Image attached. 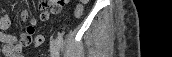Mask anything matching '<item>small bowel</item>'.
I'll return each mask as SVG.
<instances>
[{"label":"small bowel","mask_w":172,"mask_h":57,"mask_svg":"<svg viewBox=\"0 0 172 57\" xmlns=\"http://www.w3.org/2000/svg\"><path fill=\"white\" fill-rule=\"evenodd\" d=\"M67 2L68 0H40L38 4L41 10L39 19L47 21L52 13H59ZM22 18H27L26 11L22 13ZM37 24L38 20L32 18L24 31L18 36L7 33L6 31L11 26V20L5 11L2 10L0 12V53L7 57H17L29 45L39 47L44 41V36L41 34L35 35Z\"/></svg>","instance_id":"1"}]
</instances>
